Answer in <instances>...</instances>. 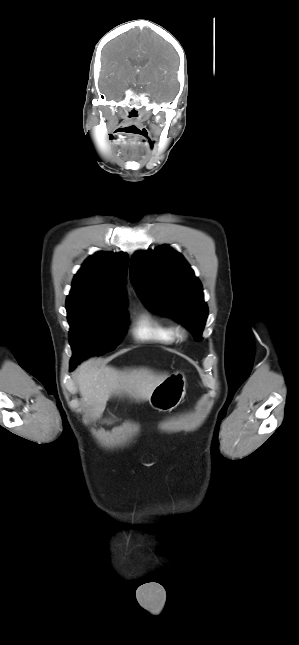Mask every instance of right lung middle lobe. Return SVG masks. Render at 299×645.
I'll use <instances>...</instances> for the list:
<instances>
[{"instance_id":"obj_1","label":"right lung middle lobe","mask_w":299,"mask_h":645,"mask_svg":"<svg viewBox=\"0 0 299 645\" xmlns=\"http://www.w3.org/2000/svg\"><path fill=\"white\" fill-rule=\"evenodd\" d=\"M70 325L69 342L73 370L83 359L114 349L125 335L128 315L125 307L66 306Z\"/></svg>"}]
</instances>
